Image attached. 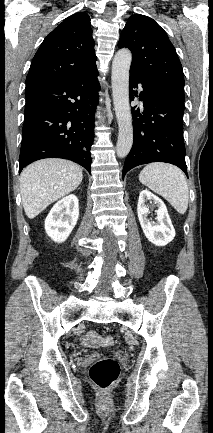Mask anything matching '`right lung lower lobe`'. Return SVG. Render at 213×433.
I'll return each instance as SVG.
<instances>
[{
    "label": "right lung lower lobe",
    "mask_w": 213,
    "mask_h": 433,
    "mask_svg": "<svg viewBox=\"0 0 213 433\" xmlns=\"http://www.w3.org/2000/svg\"><path fill=\"white\" fill-rule=\"evenodd\" d=\"M97 68L64 83L26 84L19 172L39 159L65 158L91 173Z\"/></svg>",
    "instance_id": "right-lung-lower-lobe-1"
}]
</instances>
